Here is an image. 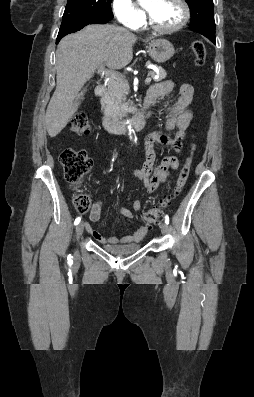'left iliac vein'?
<instances>
[{
  "mask_svg": "<svg viewBox=\"0 0 254 397\" xmlns=\"http://www.w3.org/2000/svg\"><path fill=\"white\" fill-rule=\"evenodd\" d=\"M160 229H161L162 234H166L168 232V225L165 222H163L160 225Z\"/></svg>",
  "mask_w": 254,
  "mask_h": 397,
  "instance_id": "1",
  "label": "left iliac vein"
}]
</instances>
